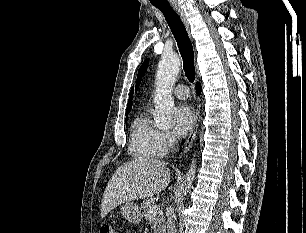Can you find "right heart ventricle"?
<instances>
[{
  "instance_id": "right-heart-ventricle-1",
  "label": "right heart ventricle",
  "mask_w": 306,
  "mask_h": 233,
  "mask_svg": "<svg viewBox=\"0 0 306 233\" xmlns=\"http://www.w3.org/2000/svg\"><path fill=\"white\" fill-rule=\"evenodd\" d=\"M157 129L145 111L133 120L130 132L129 153L136 159H150L157 155Z\"/></svg>"
}]
</instances>
